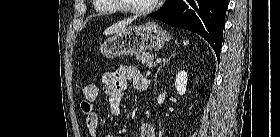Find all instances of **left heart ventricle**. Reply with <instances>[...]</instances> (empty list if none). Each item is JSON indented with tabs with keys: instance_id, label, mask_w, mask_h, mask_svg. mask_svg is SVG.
I'll list each match as a JSON object with an SVG mask.
<instances>
[{
	"instance_id": "b2bd125f",
	"label": "left heart ventricle",
	"mask_w": 280,
	"mask_h": 137,
	"mask_svg": "<svg viewBox=\"0 0 280 137\" xmlns=\"http://www.w3.org/2000/svg\"><path fill=\"white\" fill-rule=\"evenodd\" d=\"M154 0H125L126 7L144 8L150 6Z\"/></svg>"
}]
</instances>
